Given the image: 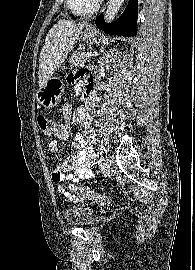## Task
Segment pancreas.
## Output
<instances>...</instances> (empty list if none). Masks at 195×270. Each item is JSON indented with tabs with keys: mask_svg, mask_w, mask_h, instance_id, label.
Returning a JSON list of instances; mask_svg holds the SVG:
<instances>
[{
	"mask_svg": "<svg viewBox=\"0 0 195 270\" xmlns=\"http://www.w3.org/2000/svg\"><path fill=\"white\" fill-rule=\"evenodd\" d=\"M87 62L86 52L84 49L78 50L74 52L69 60V66L73 67H80L84 66Z\"/></svg>",
	"mask_w": 195,
	"mask_h": 270,
	"instance_id": "pancreas-1",
	"label": "pancreas"
}]
</instances>
